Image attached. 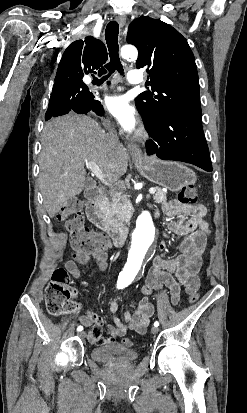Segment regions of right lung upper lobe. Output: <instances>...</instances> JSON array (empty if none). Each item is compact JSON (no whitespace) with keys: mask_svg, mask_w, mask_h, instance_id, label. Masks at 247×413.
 Masks as SVG:
<instances>
[{"mask_svg":"<svg viewBox=\"0 0 247 413\" xmlns=\"http://www.w3.org/2000/svg\"><path fill=\"white\" fill-rule=\"evenodd\" d=\"M108 59L103 42L88 36L85 40H77L65 50L58 65L55 83L82 81L84 74L105 73L102 66Z\"/></svg>","mask_w":247,"mask_h":413,"instance_id":"cb5924a9","label":"right lung upper lobe"}]
</instances>
